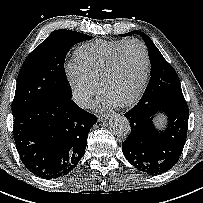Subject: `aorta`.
Here are the masks:
<instances>
[{
  "instance_id": "obj_1",
  "label": "aorta",
  "mask_w": 203,
  "mask_h": 203,
  "mask_svg": "<svg viewBox=\"0 0 203 203\" xmlns=\"http://www.w3.org/2000/svg\"><path fill=\"white\" fill-rule=\"evenodd\" d=\"M111 132L118 137L129 135L131 127L128 119L122 115H115L109 122Z\"/></svg>"
}]
</instances>
